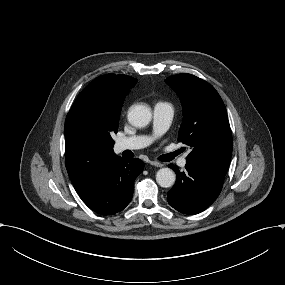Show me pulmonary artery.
Listing matches in <instances>:
<instances>
[{
    "mask_svg": "<svg viewBox=\"0 0 285 285\" xmlns=\"http://www.w3.org/2000/svg\"><path fill=\"white\" fill-rule=\"evenodd\" d=\"M175 118L172 105L167 102H159L154 107V128L158 135H163L172 124V120ZM150 143V139L144 136H132L117 139L114 145V151L121 153L125 150H134L145 147ZM186 156L179 159L178 165L181 168H185L187 165Z\"/></svg>",
    "mask_w": 285,
    "mask_h": 285,
    "instance_id": "1",
    "label": "pulmonary artery"
}]
</instances>
